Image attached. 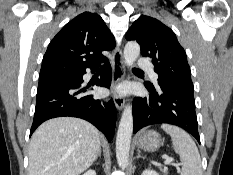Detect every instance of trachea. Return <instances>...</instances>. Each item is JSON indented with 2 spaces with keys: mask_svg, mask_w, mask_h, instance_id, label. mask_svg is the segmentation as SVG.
<instances>
[{
  "mask_svg": "<svg viewBox=\"0 0 233 175\" xmlns=\"http://www.w3.org/2000/svg\"><path fill=\"white\" fill-rule=\"evenodd\" d=\"M134 70L141 71V70H140V69H138V68H134Z\"/></svg>",
  "mask_w": 233,
  "mask_h": 175,
  "instance_id": "3493384b",
  "label": "trachea"
}]
</instances>
